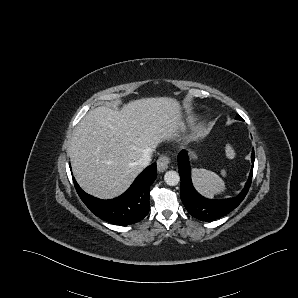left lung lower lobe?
<instances>
[{
	"label": "left lung lower lobe",
	"instance_id": "1",
	"mask_svg": "<svg viewBox=\"0 0 298 298\" xmlns=\"http://www.w3.org/2000/svg\"><path fill=\"white\" fill-rule=\"evenodd\" d=\"M241 118V117H240ZM241 120H243L241 118ZM254 165V150L251 154ZM253 165L244 189L241 193L230 199L211 200L201 196L193 187L190 175V164L187 151L178 154V167L181 179L180 197L187 211L195 218L202 221H212L223 217L235 209L245 198L251 185Z\"/></svg>",
	"mask_w": 298,
	"mask_h": 298
}]
</instances>
